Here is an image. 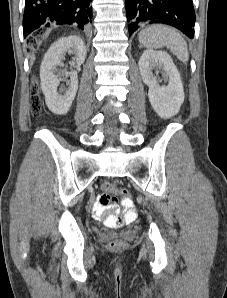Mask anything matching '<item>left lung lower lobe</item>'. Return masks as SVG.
I'll return each mask as SVG.
<instances>
[{"instance_id":"0a47b994","label":"left lung lower lobe","mask_w":227,"mask_h":298,"mask_svg":"<svg viewBox=\"0 0 227 298\" xmlns=\"http://www.w3.org/2000/svg\"><path fill=\"white\" fill-rule=\"evenodd\" d=\"M126 15L130 35L142 24L164 23L194 36L192 0H126Z\"/></svg>"}]
</instances>
